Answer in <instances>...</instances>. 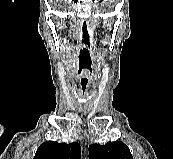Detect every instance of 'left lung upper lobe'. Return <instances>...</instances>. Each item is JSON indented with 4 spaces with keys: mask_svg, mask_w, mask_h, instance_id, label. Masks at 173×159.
Returning <instances> with one entry per match:
<instances>
[{
    "mask_svg": "<svg viewBox=\"0 0 173 159\" xmlns=\"http://www.w3.org/2000/svg\"><path fill=\"white\" fill-rule=\"evenodd\" d=\"M90 159H133L129 148L119 141L89 146Z\"/></svg>",
    "mask_w": 173,
    "mask_h": 159,
    "instance_id": "left-lung-upper-lobe-1",
    "label": "left lung upper lobe"
}]
</instances>
